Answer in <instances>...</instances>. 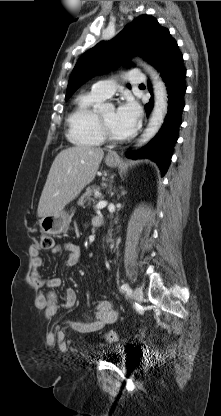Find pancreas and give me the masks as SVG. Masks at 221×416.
Instances as JSON below:
<instances>
[{
    "instance_id": "obj_1",
    "label": "pancreas",
    "mask_w": 221,
    "mask_h": 416,
    "mask_svg": "<svg viewBox=\"0 0 221 416\" xmlns=\"http://www.w3.org/2000/svg\"><path fill=\"white\" fill-rule=\"evenodd\" d=\"M99 192V188L97 187H92V188H88L86 190V192L81 196L80 200H79V204L83 205L85 202H90V201H94V198H92V196H94L95 198H102L101 194L96 195L95 193Z\"/></svg>"
}]
</instances>
